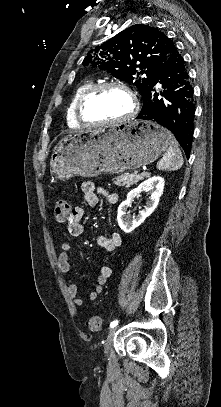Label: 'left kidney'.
<instances>
[{
	"label": "left kidney",
	"mask_w": 221,
	"mask_h": 407,
	"mask_svg": "<svg viewBox=\"0 0 221 407\" xmlns=\"http://www.w3.org/2000/svg\"><path fill=\"white\" fill-rule=\"evenodd\" d=\"M163 189L164 179L160 176H153L142 182L137 188L131 190L127 195V199L118 207L117 221L119 227L124 232L130 233L140 226L156 209L159 203V198L163 193ZM143 191L150 192V200L146 203L145 208L139 212L137 217L130 219L127 215V209L131 205L133 199Z\"/></svg>",
	"instance_id": "5707ae66"
}]
</instances>
